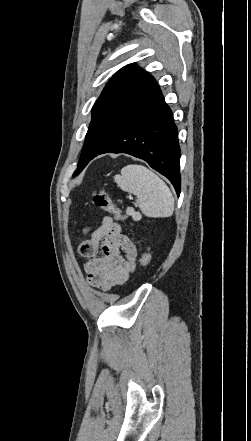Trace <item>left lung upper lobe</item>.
<instances>
[{
  "label": "left lung upper lobe",
  "instance_id": "left-lung-upper-lobe-1",
  "mask_svg": "<svg viewBox=\"0 0 251 441\" xmlns=\"http://www.w3.org/2000/svg\"><path fill=\"white\" fill-rule=\"evenodd\" d=\"M156 85L155 79L134 64L121 68L107 83L92 108L93 124L104 115H126L136 101ZM84 149V147H83ZM84 162L83 150L73 176L79 174Z\"/></svg>",
  "mask_w": 251,
  "mask_h": 441
}]
</instances>
